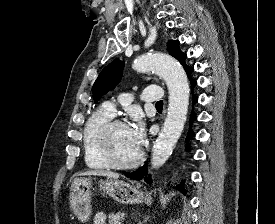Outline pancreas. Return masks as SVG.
Wrapping results in <instances>:
<instances>
[{
	"instance_id": "cf45deb5",
	"label": "pancreas",
	"mask_w": 275,
	"mask_h": 224,
	"mask_svg": "<svg viewBox=\"0 0 275 224\" xmlns=\"http://www.w3.org/2000/svg\"><path fill=\"white\" fill-rule=\"evenodd\" d=\"M124 220L123 214L121 213H110L109 214V224H121Z\"/></svg>"
}]
</instances>
